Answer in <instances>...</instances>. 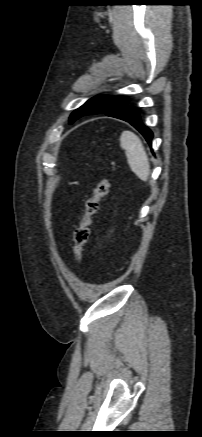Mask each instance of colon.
Returning a JSON list of instances; mask_svg holds the SVG:
<instances>
[{
    "mask_svg": "<svg viewBox=\"0 0 202 437\" xmlns=\"http://www.w3.org/2000/svg\"><path fill=\"white\" fill-rule=\"evenodd\" d=\"M109 188V178L101 176L94 189L93 196L86 202L85 212L73 234V259L76 265L80 264L85 244L89 239L92 218L98 212L100 203L108 194Z\"/></svg>",
    "mask_w": 202,
    "mask_h": 437,
    "instance_id": "5ec220e1",
    "label": "colon"
}]
</instances>
